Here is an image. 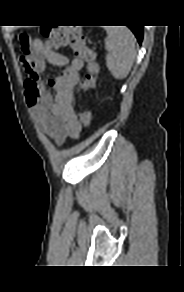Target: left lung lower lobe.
Masks as SVG:
<instances>
[{
	"label": "left lung lower lobe",
	"instance_id": "0a47b994",
	"mask_svg": "<svg viewBox=\"0 0 184 292\" xmlns=\"http://www.w3.org/2000/svg\"><path fill=\"white\" fill-rule=\"evenodd\" d=\"M132 32L135 34L139 44H141L142 42V38H143V29L142 26H128Z\"/></svg>",
	"mask_w": 184,
	"mask_h": 292
}]
</instances>
